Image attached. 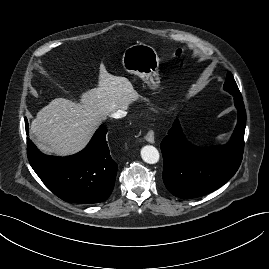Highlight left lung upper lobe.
<instances>
[{
	"mask_svg": "<svg viewBox=\"0 0 269 269\" xmlns=\"http://www.w3.org/2000/svg\"><path fill=\"white\" fill-rule=\"evenodd\" d=\"M224 89L232 95L241 94L230 72L227 73L226 81L224 83Z\"/></svg>",
	"mask_w": 269,
	"mask_h": 269,
	"instance_id": "1",
	"label": "left lung upper lobe"
}]
</instances>
